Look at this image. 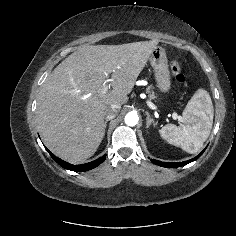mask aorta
<instances>
[{
  "mask_svg": "<svg viewBox=\"0 0 236 236\" xmlns=\"http://www.w3.org/2000/svg\"><path fill=\"white\" fill-rule=\"evenodd\" d=\"M124 120H125L126 125L133 127L138 123L139 117H138L137 113L129 112L125 116Z\"/></svg>",
  "mask_w": 236,
  "mask_h": 236,
  "instance_id": "obj_1",
  "label": "aorta"
}]
</instances>
